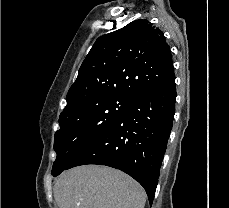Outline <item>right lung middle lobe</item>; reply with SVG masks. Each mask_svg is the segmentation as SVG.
<instances>
[{"label": "right lung middle lobe", "mask_w": 229, "mask_h": 208, "mask_svg": "<svg viewBox=\"0 0 229 208\" xmlns=\"http://www.w3.org/2000/svg\"><path fill=\"white\" fill-rule=\"evenodd\" d=\"M134 101L127 96H104L81 104L59 117L60 129L54 138L57 158L52 174L57 176L66 170L80 150L116 122Z\"/></svg>", "instance_id": "obj_1"}]
</instances>
